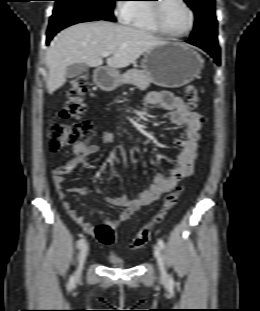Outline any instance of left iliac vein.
<instances>
[{
	"mask_svg": "<svg viewBox=\"0 0 260 311\" xmlns=\"http://www.w3.org/2000/svg\"><path fill=\"white\" fill-rule=\"evenodd\" d=\"M154 256L157 260L161 275L163 277H165L166 276V270H165L164 258H163V254H162L159 246H155Z\"/></svg>",
	"mask_w": 260,
	"mask_h": 311,
	"instance_id": "obj_1",
	"label": "left iliac vein"
}]
</instances>
